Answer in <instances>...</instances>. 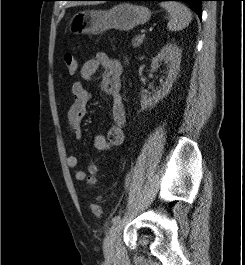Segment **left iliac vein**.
I'll use <instances>...</instances> for the list:
<instances>
[{"mask_svg": "<svg viewBox=\"0 0 245 265\" xmlns=\"http://www.w3.org/2000/svg\"><path fill=\"white\" fill-rule=\"evenodd\" d=\"M121 229V220L115 222L103 242V251L106 258H112L115 253V241Z\"/></svg>", "mask_w": 245, "mask_h": 265, "instance_id": "1", "label": "left iliac vein"}]
</instances>
